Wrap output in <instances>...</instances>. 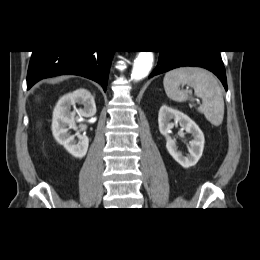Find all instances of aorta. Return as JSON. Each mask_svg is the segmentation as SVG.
<instances>
[{
    "label": "aorta",
    "mask_w": 260,
    "mask_h": 260,
    "mask_svg": "<svg viewBox=\"0 0 260 260\" xmlns=\"http://www.w3.org/2000/svg\"><path fill=\"white\" fill-rule=\"evenodd\" d=\"M154 56L152 51H141L134 60L131 79L139 81L145 78L152 68Z\"/></svg>",
    "instance_id": "762f6f07"
}]
</instances>
